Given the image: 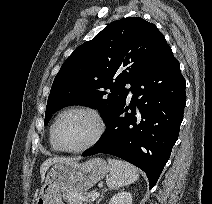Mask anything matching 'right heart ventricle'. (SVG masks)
<instances>
[{
	"label": "right heart ventricle",
	"instance_id": "obj_1",
	"mask_svg": "<svg viewBox=\"0 0 212 204\" xmlns=\"http://www.w3.org/2000/svg\"><path fill=\"white\" fill-rule=\"evenodd\" d=\"M49 142H50L51 148H52L54 151H59L58 147L55 145V143H54V141H53V139H52L51 132H50Z\"/></svg>",
	"mask_w": 212,
	"mask_h": 204
}]
</instances>
